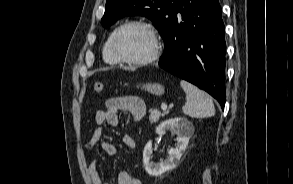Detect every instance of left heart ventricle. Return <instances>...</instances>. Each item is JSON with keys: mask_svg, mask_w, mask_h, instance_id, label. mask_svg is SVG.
<instances>
[{"mask_svg": "<svg viewBox=\"0 0 293 184\" xmlns=\"http://www.w3.org/2000/svg\"><path fill=\"white\" fill-rule=\"evenodd\" d=\"M117 49L126 58H144L152 52L153 40L146 29L132 26L123 30L118 36Z\"/></svg>", "mask_w": 293, "mask_h": 184, "instance_id": "b2bd125f", "label": "left heart ventricle"}]
</instances>
